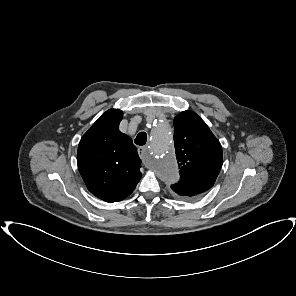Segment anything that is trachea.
Wrapping results in <instances>:
<instances>
[{
    "label": "trachea",
    "mask_w": 296,
    "mask_h": 296,
    "mask_svg": "<svg viewBox=\"0 0 296 296\" xmlns=\"http://www.w3.org/2000/svg\"><path fill=\"white\" fill-rule=\"evenodd\" d=\"M146 141H147V134L145 132H140L134 140L135 144L140 146L145 145Z\"/></svg>",
    "instance_id": "3493384b"
}]
</instances>
